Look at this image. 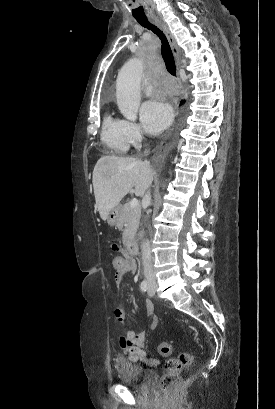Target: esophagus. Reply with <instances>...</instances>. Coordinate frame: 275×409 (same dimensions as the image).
Returning <instances> with one entry per match:
<instances>
[{
	"label": "esophagus",
	"mask_w": 275,
	"mask_h": 409,
	"mask_svg": "<svg viewBox=\"0 0 275 409\" xmlns=\"http://www.w3.org/2000/svg\"><path fill=\"white\" fill-rule=\"evenodd\" d=\"M156 25L159 26V28H161V30L164 32L165 36L167 37V40L170 44L171 50L173 52L174 57L176 58L178 64H179V51L178 48L176 46L175 40L172 37L171 33L169 32L167 26L165 25V23H163L159 18L154 17L153 19H151Z\"/></svg>",
	"instance_id": "esophagus-1"
}]
</instances>
